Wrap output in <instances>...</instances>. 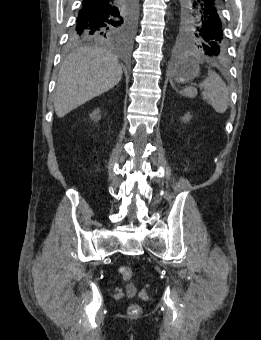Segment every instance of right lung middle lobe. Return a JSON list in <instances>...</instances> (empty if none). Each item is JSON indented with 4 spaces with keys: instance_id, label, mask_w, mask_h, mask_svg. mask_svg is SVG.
<instances>
[{
    "instance_id": "obj_1",
    "label": "right lung middle lobe",
    "mask_w": 261,
    "mask_h": 340,
    "mask_svg": "<svg viewBox=\"0 0 261 340\" xmlns=\"http://www.w3.org/2000/svg\"><path fill=\"white\" fill-rule=\"evenodd\" d=\"M137 0H127L119 13L95 19L78 29L73 27L69 44L89 41H128L133 35L137 20Z\"/></svg>"
}]
</instances>
